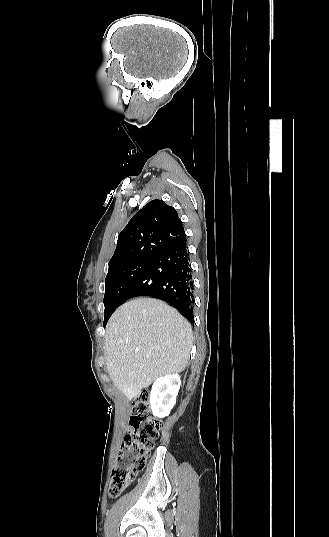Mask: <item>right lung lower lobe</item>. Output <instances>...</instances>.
<instances>
[{
    "label": "right lung lower lobe",
    "mask_w": 329,
    "mask_h": 537,
    "mask_svg": "<svg viewBox=\"0 0 329 537\" xmlns=\"http://www.w3.org/2000/svg\"><path fill=\"white\" fill-rule=\"evenodd\" d=\"M136 296L164 300L194 321V286L186 236L152 260L127 290L122 302Z\"/></svg>",
    "instance_id": "98d812e1"
}]
</instances>
